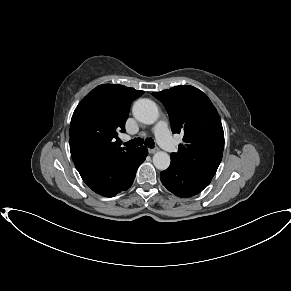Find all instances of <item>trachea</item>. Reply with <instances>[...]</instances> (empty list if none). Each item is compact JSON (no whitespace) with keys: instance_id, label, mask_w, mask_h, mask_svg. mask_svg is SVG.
<instances>
[{"instance_id":"1","label":"trachea","mask_w":291,"mask_h":291,"mask_svg":"<svg viewBox=\"0 0 291 291\" xmlns=\"http://www.w3.org/2000/svg\"><path fill=\"white\" fill-rule=\"evenodd\" d=\"M145 143L149 148H154V140L152 138H146L145 141L141 138H135L128 142H125L124 145L128 148H135Z\"/></svg>"}]
</instances>
